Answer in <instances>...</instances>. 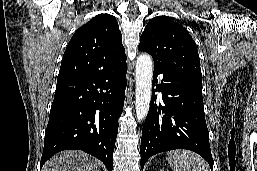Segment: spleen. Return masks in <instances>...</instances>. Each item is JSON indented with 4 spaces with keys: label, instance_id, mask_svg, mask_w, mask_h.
I'll list each match as a JSON object with an SVG mask.
<instances>
[{
    "label": "spleen",
    "instance_id": "obj_1",
    "mask_svg": "<svg viewBox=\"0 0 257 171\" xmlns=\"http://www.w3.org/2000/svg\"><path fill=\"white\" fill-rule=\"evenodd\" d=\"M166 160L173 171H209L208 164L199 155L189 150H174Z\"/></svg>",
    "mask_w": 257,
    "mask_h": 171
}]
</instances>
